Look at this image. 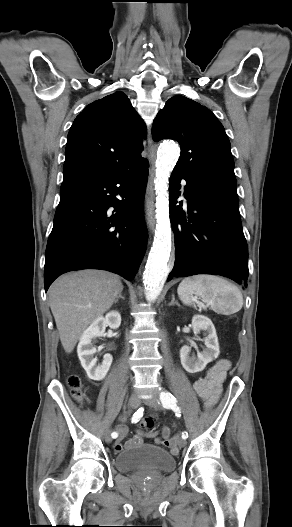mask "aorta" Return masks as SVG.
<instances>
[{
	"label": "aorta",
	"mask_w": 292,
	"mask_h": 527,
	"mask_svg": "<svg viewBox=\"0 0 292 527\" xmlns=\"http://www.w3.org/2000/svg\"><path fill=\"white\" fill-rule=\"evenodd\" d=\"M180 154L174 142L160 146L156 161V231L154 242L149 252L144 271L145 295L148 300H155L160 295L167 274L171 253V228L169 221L168 178Z\"/></svg>",
	"instance_id": "aorta-1"
}]
</instances>
